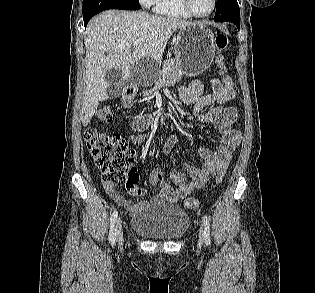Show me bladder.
<instances>
[{"label":"bladder","instance_id":"1","mask_svg":"<svg viewBox=\"0 0 315 293\" xmlns=\"http://www.w3.org/2000/svg\"><path fill=\"white\" fill-rule=\"evenodd\" d=\"M190 225L189 215L178 205L152 202L131 219V228L139 235L177 240L184 236Z\"/></svg>","mask_w":315,"mask_h":293}]
</instances>
